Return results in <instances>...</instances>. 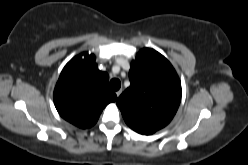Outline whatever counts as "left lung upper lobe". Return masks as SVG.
I'll list each match as a JSON object with an SVG mask.
<instances>
[{"instance_id": "obj_1", "label": "left lung upper lobe", "mask_w": 248, "mask_h": 165, "mask_svg": "<svg viewBox=\"0 0 248 165\" xmlns=\"http://www.w3.org/2000/svg\"><path fill=\"white\" fill-rule=\"evenodd\" d=\"M130 87L118 98L127 125L150 135L165 127L181 101V82L170 62L159 52L144 48L131 63Z\"/></svg>"}]
</instances>
